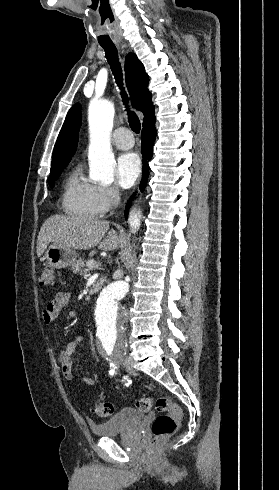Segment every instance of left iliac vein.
Listing matches in <instances>:
<instances>
[{
	"label": "left iliac vein",
	"mask_w": 279,
	"mask_h": 490,
	"mask_svg": "<svg viewBox=\"0 0 279 490\" xmlns=\"http://www.w3.org/2000/svg\"><path fill=\"white\" fill-rule=\"evenodd\" d=\"M118 358H119V360H121V361H122V360H124V359H125V356L121 354V355H119V357H118Z\"/></svg>",
	"instance_id": "4c4485c4"
}]
</instances>
